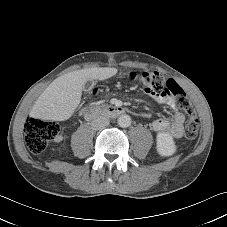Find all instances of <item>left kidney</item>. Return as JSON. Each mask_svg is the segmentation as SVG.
Segmentation results:
<instances>
[{
	"label": "left kidney",
	"instance_id": "left-kidney-1",
	"mask_svg": "<svg viewBox=\"0 0 227 227\" xmlns=\"http://www.w3.org/2000/svg\"><path fill=\"white\" fill-rule=\"evenodd\" d=\"M157 151L162 156H171L176 151V145L172 138L167 133L160 132L157 134Z\"/></svg>",
	"mask_w": 227,
	"mask_h": 227
}]
</instances>
